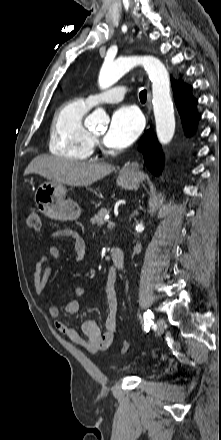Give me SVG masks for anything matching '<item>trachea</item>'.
I'll list each match as a JSON object with an SVG mask.
<instances>
[{
  "label": "trachea",
  "mask_w": 221,
  "mask_h": 440,
  "mask_svg": "<svg viewBox=\"0 0 221 440\" xmlns=\"http://www.w3.org/2000/svg\"><path fill=\"white\" fill-rule=\"evenodd\" d=\"M139 98H140V101H141V102H145V101H146V98H147V92H146L145 89L142 90V91L139 93Z\"/></svg>",
  "instance_id": "1"
}]
</instances>
